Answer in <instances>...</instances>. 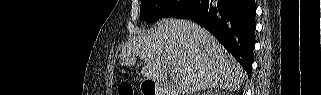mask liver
Wrapping results in <instances>:
<instances>
[{"label": "liver", "instance_id": "6515ba94", "mask_svg": "<svg viewBox=\"0 0 321 95\" xmlns=\"http://www.w3.org/2000/svg\"><path fill=\"white\" fill-rule=\"evenodd\" d=\"M145 61L141 74L161 83L167 74L176 76L177 95L207 88L234 91L245 72L240 64L207 30L188 20L166 19L149 34L132 37L123 46L120 64Z\"/></svg>", "mask_w": 321, "mask_h": 95}]
</instances>
